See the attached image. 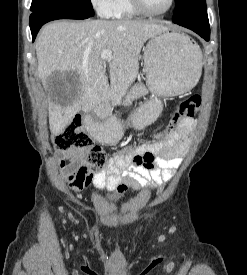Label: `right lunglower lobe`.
Instances as JSON below:
<instances>
[{"instance_id": "98d812e1", "label": "right lung lower lobe", "mask_w": 247, "mask_h": 275, "mask_svg": "<svg viewBox=\"0 0 247 275\" xmlns=\"http://www.w3.org/2000/svg\"><path fill=\"white\" fill-rule=\"evenodd\" d=\"M90 17L91 16L88 15L73 13L60 9H49L33 12L30 15V29L33 41L35 40V37L42 25L49 21L57 19H87Z\"/></svg>"}]
</instances>
